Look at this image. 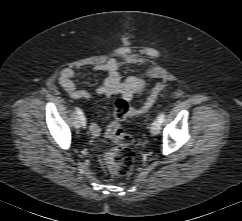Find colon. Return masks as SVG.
Wrapping results in <instances>:
<instances>
[{"instance_id":"obj_1","label":"colon","mask_w":242,"mask_h":221,"mask_svg":"<svg viewBox=\"0 0 242 221\" xmlns=\"http://www.w3.org/2000/svg\"><path fill=\"white\" fill-rule=\"evenodd\" d=\"M164 86L163 83H160L154 87L140 108H133L123 98L115 102L112 120L107 127V135L114 145L101 155L103 167L112 174L125 176L129 174L133 165V153L130 149L133 138L123 131L122 122L132 116L147 112L155 103Z\"/></svg>"}]
</instances>
